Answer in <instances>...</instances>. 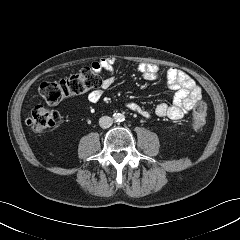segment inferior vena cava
<instances>
[{"label": "inferior vena cava", "instance_id": "inferior-vena-cava-1", "mask_svg": "<svg viewBox=\"0 0 240 240\" xmlns=\"http://www.w3.org/2000/svg\"><path fill=\"white\" fill-rule=\"evenodd\" d=\"M113 124V119L109 116H103L99 119V125L102 128H109Z\"/></svg>", "mask_w": 240, "mask_h": 240}]
</instances>
